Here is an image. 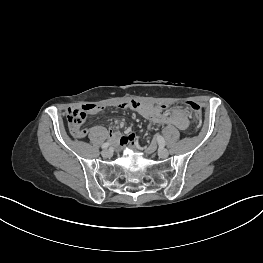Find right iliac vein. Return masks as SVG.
I'll return each instance as SVG.
<instances>
[{
    "label": "right iliac vein",
    "instance_id": "obj_1",
    "mask_svg": "<svg viewBox=\"0 0 263 263\" xmlns=\"http://www.w3.org/2000/svg\"><path fill=\"white\" fill-rule=\"evenodd\" d=\"M111 155H112V153L108 149H105V150L102 151V156L105 157V158L111 157Z\"/></svg>",
    "mask_w": 263,
    "mask_h": 263
}]
</instances>
